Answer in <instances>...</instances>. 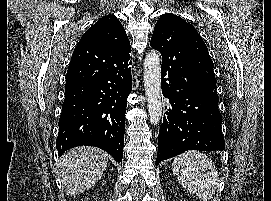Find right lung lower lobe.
I'll return each instance as SVG.
<instances>
[{
    "mask_svg": "<svg viewBox=\"0 0 271 201\" xmlns=\"http://www.w3.org/2000/svg\"><path fill=\"white\" fill-rule=\"evenodd\" d=\"M129 60L114 49L76 46L59 119V156L84 145L101 148L118 163L122 161L127 97L132 90Z\"/></svg>",
    "mask_w": 271,
    "mask_h": 201,
    "instance_id": "98d812e1",
    "label": "right lung lower lobe"
}]
</instances>
